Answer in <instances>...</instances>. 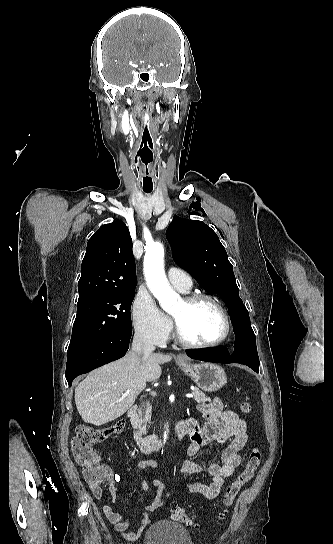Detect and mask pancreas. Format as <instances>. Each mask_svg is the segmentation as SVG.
I'll list each match as a JSON object with an SVG mask.
<instances>
[{"instance_id": "pancreas-1", "label": "pancreas", "mask_w": 333, "mask_h": 544, "mask_svg": "<svg viewBox=\"0 0 333 544\" xmlns=\"http://www.w3.org/2000/svg\"><path fill=\"white\" fill-rule=\"evenodd\" d=\"M192 394L194 395V400L197 403H205V402H210L211 401V399L209 397H207L203 392H201L198 388H194L192 390ZM151 410H152V408H151L149 402L143 403L141 405V408L138 410V416L140 418L139 428L143 432L146 431L147 422H148V420L150 419V416H151Z\"/></svg>"}]
</instances>
